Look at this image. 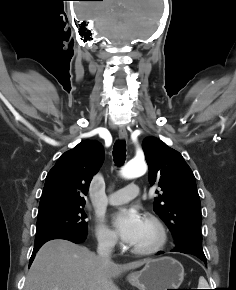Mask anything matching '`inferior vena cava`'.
<instances>
[{
    "label": "inferior vena cava",
    "instance_id": "1",
    "mask_svg": "<svg viewBox=\"0 0 236 290\" xmlns=\"http://www.w3.org/2000/svg\"><path fill=\"white\" fill-rule=\"evenodd\" d=\"M114 246L113 239H101L98 244L97 253L103 261H110V255Z\"/></svg>",
    "mask_w": 236,
    "mask_h": 290
}]
</instances>
